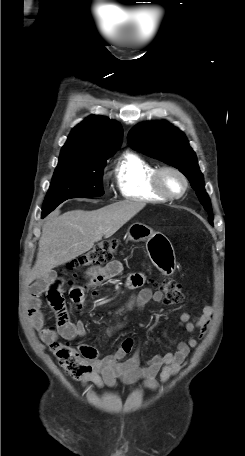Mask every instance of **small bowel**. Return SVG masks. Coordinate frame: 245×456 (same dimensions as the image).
Masks as SVG:
<instances>
[{
	"instance_id": "1",
	"label": "small bowel",
	"mask_w": 245,
	"mask_h": 456,
	"mask_svg": "<svg viewBox=\"0 0 245 456\" xmlns=\"http://www.w3.org/2000/svg\"><path fill=\"white\" fill-rule=\"evenodd\" d=\"M122 270V263L118 260H112L101 267L90 268L86 273V284L75 286L70 290L71 300L81 303L89 288L96 287L105 280L121 274ZM145 280L146 277L143 273H133L128 276L126 286L130 289H137L144 285ZM61 285L62 280L48 274L34 282L30 287L27 305L29 320L46 344L52 343L58 337L73 340L83 337L86 333L82 321H70L61 293ZM44 292H47L48 301L57 315L56 329L44 327V314L40 309V296ZM162 299L163 293L161 291H153L148 287H143L131 298L126 308H140L149 301L161 302ZM213 314L214 307L212 304H204L201 314L196 318L189 313H183L180 316V325L190 334L189 338L185 341L174 340L175 350L173 352L155 355L147 361L145 366L140 364L139 350L135 348V342L132 338L123 340L121 346L113 354L103 358L99 357L95 346L81 342L79 350L90 366V371L80 379L82 385L89 387L92 384L101 389L103 387H114L119 381L133 385L141 380L145 389L157 390L160 383H166L171 376L180 371L186 362L190 349L195 348L198 344L193 334L198 331L199 337H204L210 327ZM121 327H123L122 322L108 327L105 330V336L111 335ZM130 353L132 355L125 359Z\"/></svg>"
}]
</instances>
